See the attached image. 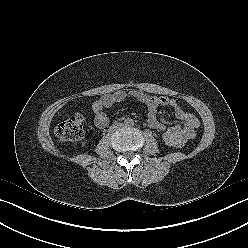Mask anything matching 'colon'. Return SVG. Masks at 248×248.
<instances>
[{
    "mask_svg": "<svg viewBox=\"0 0 248 248\" xmlns=\"http://www.w3.org/2000/svg\"><path fill=\"white\" fill-rule=\"evenodd\" d=\"M84 119L81 115L75 114L59 123L56 128V136L61 141H79L84 137ZM164 143L171 147L182 145L179 137L171 132H163Z\"/></svg>",
    "mask_w": 248,
    "mask_h": 248,
    "instance_id": "5ec220e1",
    "label": "colon"
}]
</instances>
